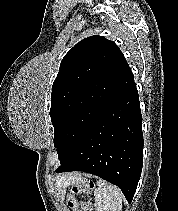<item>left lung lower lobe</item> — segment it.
<instances>
[{
	"mask_svg": "<svg viewBox=\"0 0 178 211\" xmlns=\"http://www.w3.org/2000/svg\"><path fill=\"white\" fill-rule=\"evenodd\" d=\"M142 116L131 69L94 126L56 172L83 171L117 185L131 203L143 165Z\"/></svg>",
	"mask_w": 178,
	"mask_h": 211,
	"instance_id": "0a47b994",
	"label": "left lung lower lobe"
}]
</instances>
